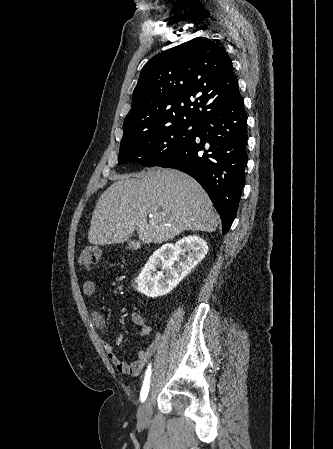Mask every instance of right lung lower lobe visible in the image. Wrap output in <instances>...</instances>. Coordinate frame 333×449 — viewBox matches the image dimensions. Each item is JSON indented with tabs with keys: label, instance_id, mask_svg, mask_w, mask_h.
<instances>
[{
	"label": "right lung lower lobe",
	"instance_id": "98d812e1",
	"mask_svg": "<svg viewBox=\"0 0 333 449\" xmlns=\"http://www.w3.org/2000/svg\"><path fill=\"white\" fill-rule=\"evenodd\" d=\"M247 138V114L239 95L207 114L195 134L156 165L183 171L201 184L221 216L223 234L235 218L245 182Z\"/></svg>",
	"mask_w": 333,
	"mask_h": 449
}]
</instances>
